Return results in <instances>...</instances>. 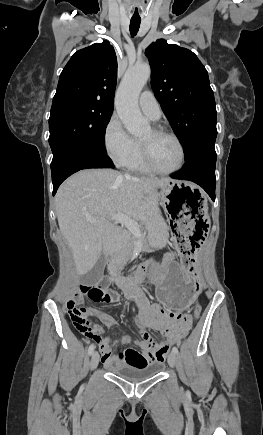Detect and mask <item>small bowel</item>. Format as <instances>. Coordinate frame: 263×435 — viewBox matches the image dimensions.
I'll use <instances>...</instances> for the list:
<instances>
[{"instance_id":"small-bowel-1","label":"small bowel","mask_w":263,"mask_h":435,"mask_svg":"<svg viewBox=\"0 0 263 435\" xmlns=\"http://www.w3.org/2000/svg\"><path fill=\"white\" fill-rule=\"evenodd\" d=\"M163 258L173 257L166 253ZM154 266L155 261L150 259L133 274L117 277L115 284L123 295L137 306L138 312L135 321L139 329L146 328L160 333L158 343H155V339H152V343H147L146 340L145 343H140V348L136 350L127 348L116 354L112 350H100L105 367H112L115 364L143 366L154 361L161 362L166 355H171L174 352L175 342L183 337L185 330L191 328V323L185 321L187 317L182 314L183 310H165L164 305L151 303L139 288L138 284L143 280L144 274L153 270ZM110 291L115 295V299L111 303L119 302L120 295L114 290ZM74 301L80 306L85 304L84 293L80 289L75 294ZM100 318L107 326L116 324L111 316L101 315ZM104 341L108 340L104 338Z\"/></svg>"}]
</instances>
